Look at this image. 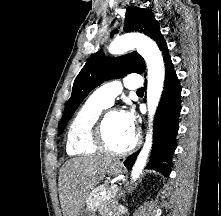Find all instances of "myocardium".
I'll return each instance as SVG.
<instances>
[{"mask_svg": "<svg viewBox=\"0 0 221 216\" xmlns=\"http://www.w3.org/2000/svg\"><path fill=\"white\" fill-rule=\"evenodd\" d=\"M119 112L116 109H110L107 110L105 113L101 114L96 127L94 131V141L95 144L97 145L98 149H100L103 152H106L110 155L113 156H121V155H126L133 151L139 144V136L138 135H133L131 143L121 149H115L111 147L107 140H106V135H105V126L107 122V118L111 113Z\"/></svg>", "mask_w": 221, "mask_h": 216, "instance_id": "1", "label": "myocardium"}]
</instances>
